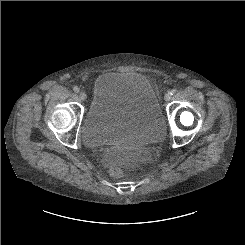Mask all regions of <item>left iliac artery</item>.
I'll return each instance as SVG.
<instances>
[{
  "mask_svg": "<svg viewBox=\"0 0 245 245\" xmlns=\"http://www.w3.org/2000/svg\"><path fill=\"white\" fill-rule=\"evenodd\" d=\"M176 92H177L176 89H172V90L170 91V95H174Z\"/></svg>",
  "mask_w": 245,
  "mask_h": 245,
  "instance_id": "1",
  "label": "left iliac artery"
}]
</instances>
